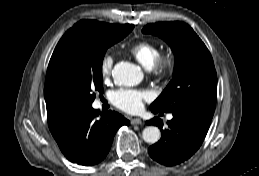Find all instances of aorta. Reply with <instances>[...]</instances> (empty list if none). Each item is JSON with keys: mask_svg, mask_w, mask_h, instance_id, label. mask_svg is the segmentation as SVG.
Listing matches in <instances>:
<instances>
[{"mask_svg": "<svg viewBox=\"0 0 259 176\" xmlns=\"http://www.w3.org/2000/svg\"><path fill=\"white\" fill-rule=\"evenodd\" d=\"M112 75L116 83L125 86L136 85L142 80L139 68L127 61L117 63L113 68ZM160 137L161 132L156 126H148L142 132L143 140L150 144L158 142Z\"/></svg>", "mask_w": 259, "mask_h": 176, "instance_id": "obj_1", "label": "aorta"}]
</instances>
